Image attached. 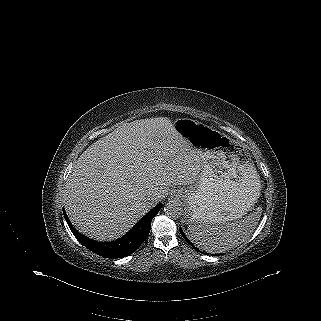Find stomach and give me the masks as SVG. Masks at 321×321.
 Returning a JSON list of instances; mask_svg holds the SVG:
<instances>
[{"label":"stomach","mask_w":321,"mask_h":321,"mask_svg":"<svg viewBox=\"0 0 321 321\" xmlns=\"http://www.w3.org/2000/svg\"><path fill=\"white\" fill-rule=\"evenodd\" d=\"M173 126L201 159L196 184L174 192L187 205V221L225 224L242 218L260 195V179L249 154L199 121L180 118Z\"/></svg>","instance_id":"stomach-1"}]
</instances>
